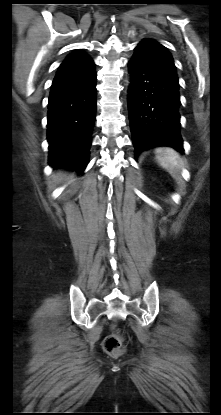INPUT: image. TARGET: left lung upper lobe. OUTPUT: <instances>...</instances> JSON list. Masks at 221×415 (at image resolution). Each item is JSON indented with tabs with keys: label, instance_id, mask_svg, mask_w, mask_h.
<instances>
[{
	"label": "left lung upper lobe",
	"instance_id": "1",
	"mask_svg": "<svg viewBox=\"0 0 221 415\" xmlns=\"http://www.w3.org/2000/svg\"><path fill=\"white\" fill-rule=\"evenodd\" d=\"M133 57L147 60L178 79L170 52L163 45L152 39L142 40L135 48Z\"/></svg>",
	"mask_w": 221,
	"mask_h": 415
}]
</instances>
